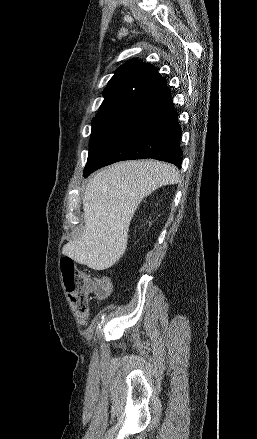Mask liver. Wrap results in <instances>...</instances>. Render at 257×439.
<instances>
[{
	"mask_svg": "<svg viewBox=\"0 0 257 439\" xmlns=\"http://www.w3.org/2000/svg\"><path fill=\"white\" fill-rule=\"evenodd\" d=\"M178 180L174 166L152 160L123 161L98 171L83 197L84 231L62 253L94 270L113 266L126 250L129 225L143 198Z\"/></svg>",
	"mask_w": 257,
	"mask_h": 439,
	"instance_id": "6515ba94",
	"label": "liver"
}]
</instances>
